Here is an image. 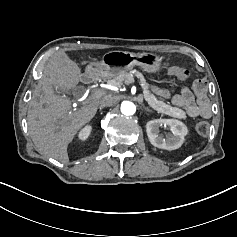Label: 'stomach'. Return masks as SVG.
Returning <instances> with one entry per match:
<instances>
[{
	"instance_id": "1",
	"label": "stomach",
	"mask_w": 237,
	"mask_h": 237,
	"mask_svg": "<svg viewBox=\"0 0 237 237\" xmlns=\"http://www.w3.org/2000/svg\"><path fill=\"white\" fill-rule=\"evenodd\" d=\"M162 64V56L154 52L132 53L114 50L104 53L100 62L93 67L101 77L113 78L135 66L144 72L156 74L161 71Z\"/></svg>"
}]
</instances>
